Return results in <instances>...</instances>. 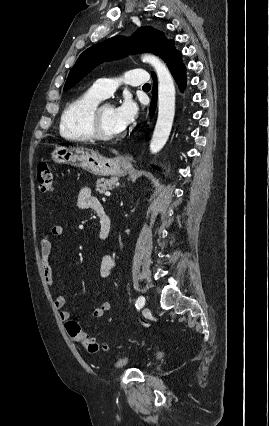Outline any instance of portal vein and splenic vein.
Returning a JSON list of instances; mask_svg holds the SVG:
<instances>
[{
  "label": "portal vein and splenic vein",
  "instance_id": "portal-vein-and-splenic-vein-1",
  "mask_svg": "<svg viewBox=\"0 0 269 426\" xmlns=\"http://www.w3.org/2000/svg\"><path fill=\"white\" fill-rule=\"evenodd\" d=\"M105 195H106V196H110V195H111V193H110V192H106V193H105Z\"/></svg>",
  "mask_w": 269,
  "mask_h": 426
}]
</instances>
